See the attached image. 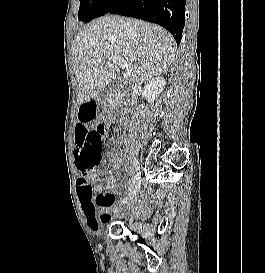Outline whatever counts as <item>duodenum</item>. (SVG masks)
<instances>
[{
    "instance_id": "duodenum-1",
    "label": "duodenum",
    "mask_w": 265,
    "mask_h": 273,
    "mask_svg": "<svg viewBox=\"0 0 265 273\" xmlns=\"http://www.w3.org/2000/svg\"><path fill=\"white\" fill-rule=\"evenodd\" d=\"M119 101V97L117 96H113L112 98V102L115 103V102H118Z\"/></svg>"
}]
</instances>
